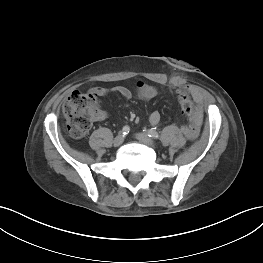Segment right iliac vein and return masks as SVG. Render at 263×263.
<instances>
[{"mask_svg":"<svg viewBox=\"0 0 263 263\" xmlns=\"http://www.w3.org/2000/svg\"><path fill=\"white\" fill-rule=\"evenodd\" d=\"M123 141H124V136L122 134H119L114 138L113 144L114 146L118 147L123 143Z\"/></svg>","mask_w":263,"mask_h":263,"instance_id":"63e3f726","label":"right iliac vein"}]
</instances>
